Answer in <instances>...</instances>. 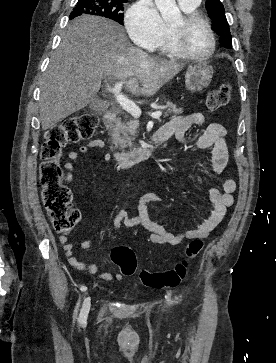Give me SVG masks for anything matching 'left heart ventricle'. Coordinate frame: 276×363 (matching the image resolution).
I'll use <instances>...</instances> for the list:
<instances>
[{
	"mask_svg": "<svg viewBox=\"0 0 276 363\" xmlns=\"http://www.w3.org/2000/svg\"><path fill=\"white\" fill-rule=\"evenodd\" d=\"M182 18L178 19L174 26L181 24ZM183 42L186 48L194 54H204L210 49L211 41L208 31L203 23H195L185 30Z\"/></svg>",
	"mask_w": 276,
	"mask_h": 363,
	"instance_id": "obj_1",
	"label": "left heart ventricle"
}]
</instances>
